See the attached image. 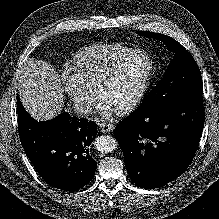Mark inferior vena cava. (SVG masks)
I'll return each instance as SVG.
<instances>
[{"label": "inferior vena cava", "instance_id": "obj_1", "mask_svg": "<svg viewBox=\"0 0 219 219\" xmlns=\"http://www.w3.org/2000/svg\"><path fill=\"white\" fill-rule=\"evenodd\" d=\"M92 111V107L88 102H80L76 104V112L81 115H87Z\"/></svg>", "mask_w": 219, "mask_h": 219}]
</instances>
